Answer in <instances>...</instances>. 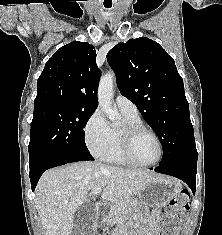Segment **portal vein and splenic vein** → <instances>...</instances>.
<instances>
[{"label":"portal vein and splenic vein","instance_id":"1","mask_svg":"<svg viewBox=\"0 0 222 235\" xmlns=\"http://www.w3.org/2000/svg\"><path fill=\"white\" fill-rule=\"evenodd\" d=\"M101 187H96V188H94L93 190H92V194H94V195H96V194H98V193H100V191H101Z\"/></svg>","mask_w":222,"mask_h":235}]
</instances>
